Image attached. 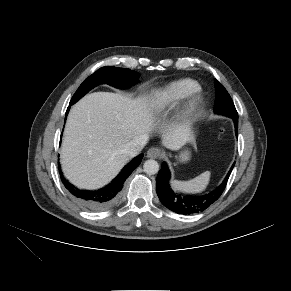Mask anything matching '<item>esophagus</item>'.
I'll use <instances>...</instances> for the list:
<instances>
[{"label":"esophagus","instance_id":"34e87169","mask_svg":"<svg viewBox=\"0 0 291 291\" xmlns=\"http://www.w3.org/2000/svg\"><path fill=\"white\" fill-rule=\"evenodd\" d=\"M161 156V150L157 147H152L147 151V157L149 158H159Z\"/></svg>","mask_w":291,"mask_h":291}]
</instances>
